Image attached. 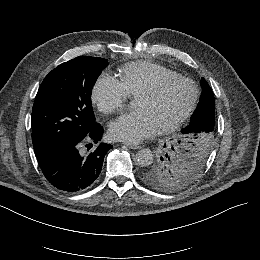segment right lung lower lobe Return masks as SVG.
I'll return each mask as SVG.
<instances>
[{
  "label": "right lung lower lobe",
  "mask_w": 260,
  "mask_h": 260,
  "mask_svg": "<svg viewBox=\"0 0 260 260\" xmlns=\"http://www.w3.org/2000/svg\"><path fill=\"white\" fill-rule=\"evenodd\" d=\"M103 128L95 124L88 136L80 141L56 148L37 157L46 179L57 189L65 192H79L94 183L99 177L107 151L113 146L100 143ZM86 143V151L83 146Z\"/></svg>",
  "instance_id": "98d812e1"
}]
</instances>
